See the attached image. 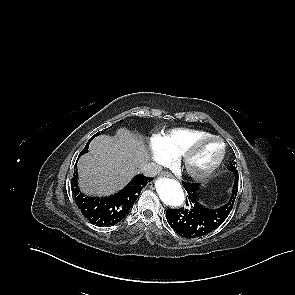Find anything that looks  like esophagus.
I'll list each match as a JSON object with an SVG mask.
<instances>
[{"label":"esophagus","instance_id":"obj_1","mask_svg":"<svg viewBox=\"0 0 295 295\" xmlns=\"http://www.w3.org/2000/svg\"><path fill=\"white\" fill-rule=\"evenodd\" d=\"M161 176H163V177H172V174L170 172H168V171H163V172H161Z\"/></svg>","mask_w":295,"mask_h":295}]
</instances>
